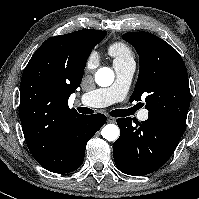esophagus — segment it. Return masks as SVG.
I'll return each mask as SVG.
<instances>
[{"label": "esophagus", "instance_id": "esophagus-1", "mask_svg": "<svg viewBox=\"0 0 199 199\" xmlns=\"http://www.w3.org/2000/svg\"><path fill=\"white\" fill-rule=\"evenodd\" d=\"M107 121L110 122V123H114L116 121V119L113 118V117H108Z\"/></svg>", "mask_w": 199, "mask_h": 199}]
</instances>
